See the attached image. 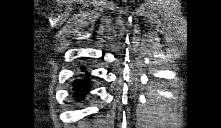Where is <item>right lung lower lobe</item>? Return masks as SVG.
Wrapping results in <instances>:
<instances>
[{"label":"right lung lower lobe","instance_id":"right-lung-lower-lobe-1","mask_svg":"<svg viewBox=\"0 0 221 128\" xmlns=\"http://www.w3.org/2000/svg\"><path fill=\"white\" fill-rule=\"evenodd\" d=\"M82 71H85V69L82 68ZM89 87V74L86 72L83 79H76L74 81L73 90L75 99L80 100L83 96H85L86 92L89 91Z\"/></svg>","mask_w":221,"mask_h":128}]
</instances>
